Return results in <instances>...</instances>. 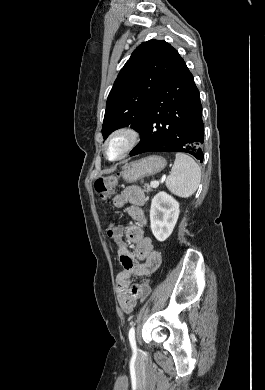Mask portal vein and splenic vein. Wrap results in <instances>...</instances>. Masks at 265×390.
<instances>
[{
    "mask_svg": "<svg viewBox=\"0 0 265 390\" xmlns=\"http://www.w3.org/2000/svg\"><path fill=\"white\" fill-rule=\"evenodd\" d=\"M152 183V185L154 186V187H158L159 186V181H157V180H155V181H153V182H151Z\"/></svg>",
    "mask_w": 265,
    "mask_h": 390,
    "instance_id": "portal-vein-and-splenic-vein-1",
    "label": "portal vein and splenic vein"
}]
</instances>
